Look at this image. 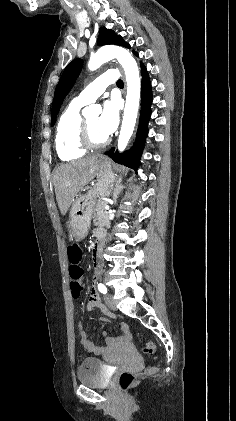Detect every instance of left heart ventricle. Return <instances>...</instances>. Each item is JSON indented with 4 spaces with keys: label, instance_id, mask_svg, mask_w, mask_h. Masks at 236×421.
I'll return each instance as SVG.
<instances>
[{
    "label": "left heart ventricle",
    "instance_id": "obj_1",
    "mask_svg": "<svg viewBox=\"0 0 236 421\" xmlns=\"http://www.w3.org/2000/svg\"><path fill=\"white\" fill-rule=\"evenodd\" d=\"M89 136L94 142H101L106 138V135L99 127V114L90 115L86 117Z\"/></svg>",
    "mask_w": 236,
    "mask_h": 421
}]
</instances>
